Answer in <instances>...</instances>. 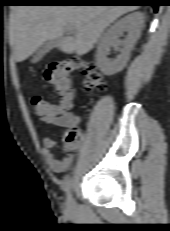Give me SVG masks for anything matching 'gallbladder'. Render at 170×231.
<instances>
[{"instance_id": "bac80fb5", "label": "gallbladder", "mask_w": 170, "mask_h": 231, "mask_svg": "<svg viewBox=\"0 0 170 231\" xmlns=\"http://www.w3.org/2000/svg\"><path fill=\"white\" fill-rule=\"evenodd\" d=\"M57 44V40H49L47 41L43 47L37 51V53L33 56L31 62L37 63L39 62L53 47Z\"/></svg>"}]
</instances>
